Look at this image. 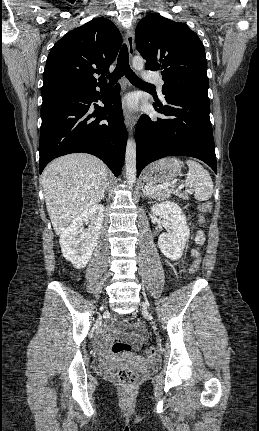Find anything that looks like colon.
I'll use <instances>...</instances> for the list:
<instances>
[{"label":"colon","instance_id":"1","mask_svg":"<svg viewBox=\"0 0 259 431\" xmlns=\"http://www.w3.org/2000/svg\"><path fill=\"white\" fill-rule=\"evenodd\" d=\"M211 207H212V204L209 200L203 201L199 205V212H200L199 222L201 225H204L205 223L203 214L209 212L211 210ZM198 270H199V259H198V252H197V254L193 256V259L189 267V271L191 275H195ZM111 350L115 354L125 353L131 350V346L127 343L116 342L113 344ZM144 355L148 359H153L156 355L155 348L147 347L144 350ZM115 376L118 382L125 388L132 387L138 380V373L134 370H129V369H119L115 372Z\"/></svg>","mask_w":259,"mask_h":431}]
</instances>
